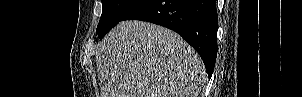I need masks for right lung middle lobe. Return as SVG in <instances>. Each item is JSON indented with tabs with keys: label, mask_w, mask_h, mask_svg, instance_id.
<instances>
[{
	"label": "right lung middle lobe",
	"mask_w": 302,
	"mask_h": 97,
	"mask_svg": "<svg viewBox=\"0 0 302 97\" xmlns=\"http://www.w3.org/2000/svg\"><path fill=\"white\" fill-rule=\"evenodd\" d=\"M142 0H102V15L97 26L100 39Z\"/></svg>",
	"instance_id": "right-lung-middle-lobe-1"
}]
</instances>
